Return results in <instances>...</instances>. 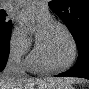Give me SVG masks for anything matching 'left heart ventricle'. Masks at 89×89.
<instances>
[{"mask_svg":"<svg viewBox=\"0 0 89 89\" xmlns=\"http://www.w3.org/2000/svg\"><path fill=\"white\" fill-rule=\"evenodd\" d=\"M46 60L55 66L64 65L72 56V45L66 33L52 24L46 34L39 39Z\"/></svg>","mask_w":89,"mask_h":89,"instance_id":"left-heart-ventricle-1","label":"left heart ventricle"}]
</instances>
